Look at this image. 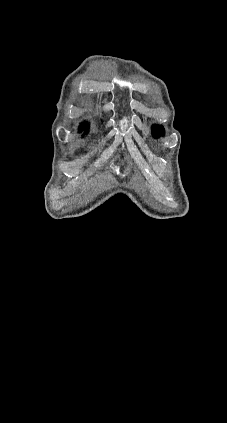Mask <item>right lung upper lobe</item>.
Segmentation results:
<instances>
[{"instance_id": "cb5924a9", "label": "right lung upper lobe", "mask_w": 227, "mask_h": 423, "mask_svg": "<svg viewBox=\"0 0 227 423\" xmlns=\"http://www.w3.org/2000/svg\"><path fill=\"white\" fill-rule=\"evenodd\" d=\"M85 127V125H83L82 127H81V129H83Z\"/></svg>"}]
</instances>
